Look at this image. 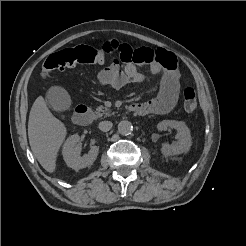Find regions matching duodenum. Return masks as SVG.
<instances>
[{"label": "duodenum", "instance_id": "410a0bca", "mask_svg": "<svg viewBox=\"0 0 246 246\" xmlns=\"http://www.w3.org/2000/svg\"><path fill=\"white\" fill-rule=\"evenodd\" d=\"M130 111L136 112L137 106L132 104L129 107ZM91 120V113L87 106L79 105L76 107L74 115H73V122L78 126H86L90 123Z\"/></svg>", "mask_w": 246, "mask_h": 246}]
</instances>
